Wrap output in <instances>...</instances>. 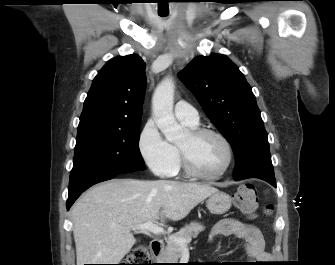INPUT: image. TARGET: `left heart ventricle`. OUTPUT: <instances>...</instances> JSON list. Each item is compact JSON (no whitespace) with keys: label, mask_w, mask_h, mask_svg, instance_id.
I'll return each mask as SVG.
<instances>
[{"label":"left heart ventricle","mask_w":335,"mask_h":265,"mask_svg":"<svg viewBox=\"0 0 335 265\" xmlns=\"http://www.w3.org/2000/svg\"><path fill=\"white\" fill-rule=\"evenodd\" d=\"M178 145L188 153L191 163L201 173L215 174L226 162L225 146L214 136L193 140L187 134Z\"/></svg>","instance_id":"b2bd125f"}]
</instances>
